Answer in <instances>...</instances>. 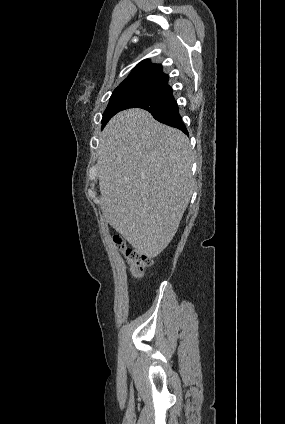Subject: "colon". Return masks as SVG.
<instances>
[{
	"mask_svg": "<svg viewBox=\"0 0 285 424\" xmlns=\"http://www.w3.org/2000/svg\"><path fill=\"white\" fill-rule=\"evenodd\" d=\"M113 241L120 253L130 266V272L135 278H141L152 265V259L146 254L128 247L119 235L113 237Z\"/></svg>",
	"mask_w": 285,
	"mask_h": 424,
	"instance_id": "obj_1",
	"label": "colon"
}]
</instances>
